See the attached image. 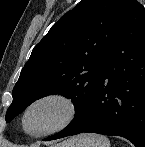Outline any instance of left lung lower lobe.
<instances>
[{
  "label": "left lung lower lobe",
  "mask_w": 145,
  "mask_h": 147,
  "mask_svg": "<svg viewBox=\"0 0 145 147\" xmlns=\"http://www.w3.org/2000/svg\"><path fill=\"white\" fill-rule=\"evenodd\" d=\"M82 132L122 136L145 147V8L136 0L129 3L83 119L44 140Z\"/></svg>",
  "instance_id": "left-lung-lower-lobe-1"
}]
</instances>
